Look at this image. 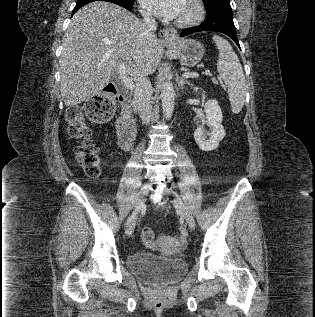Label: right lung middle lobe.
Wrapping results in <instances>:
<instances>
[{"label": "right lung middle lobe", "mask_w": 315, "mask_h": 317, "mask_svg": "<svg viewBox=\"0 0 315 317\" xmlns=\"http://www.w3.org/2000/svg\"><path fill=\"white\" fill-rule=\"evenodd\" d=\"M86 1V0H77V2ZM128 2H134V0H126Z\"/></svg>", "instance_id": "right-lung-middle-lobe-1"}]
</instances>
